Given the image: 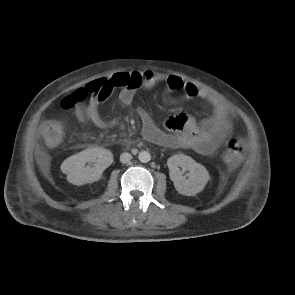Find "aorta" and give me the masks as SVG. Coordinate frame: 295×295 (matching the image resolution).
I'll return each instance as SVG.
<instances>
[{
	"mask_svg": "<svg viewBox=\"0 0 295 295\" xmlns=\"http://www.w3.org/2000/svg\"><path fill=\"white\" fill-rule=\"evenodd\" d=\"M138 159L142 163H147L151 160V155L148 151H141L138 155Z\"/></svg>",
	"mask_w": 295,
	"mask_h": 295,
	"instance_id": "1",
	"label": "aorta"
}]
</instances>
